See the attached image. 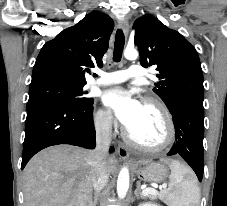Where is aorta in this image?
Masks as SVG:
<instances>
[{"label":"aorta","instance_id":"762f6f07","mask_svg":"<svg viewBox=\"0 0 227 206\" xmlns=\"http://www.w3.org/2000/svg\"><path fill=\"white\" fill-rule=\"evenodd\" d=\"M124 56L128 60H135L138 57V52L134 48H126ZM129 180V170L127 167H123L119 172L117 180V194L120 199H123L128 192Z\"/></svg>","mask_w":227,"mask_h":206}]
</instances>
